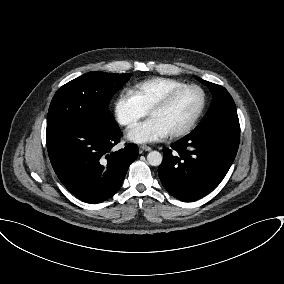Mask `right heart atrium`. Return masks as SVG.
<instances>
[{"instance_id":"d8ad5b80","label":"right heart atrium","mask_w":284,"mask_h":284,"mask_svg":"<svg viewBox=\"0 0 284 284\" xmlns=\"http://www.w3.org/2000/svg\"><path fill=\"white\" fill-rule=\"evenodd\" d=\"M147 113L148 110L131 91L121 92L114 102V116L116 121L122 126H133Z\"/></svg>"}]
</instances>
